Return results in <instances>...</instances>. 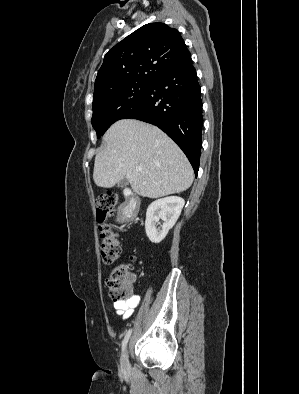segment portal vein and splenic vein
<instances>
[{"label": "portal vein and splenic vein", "mask_w": 299, "mask_h": 394, "mask_svg": "<svg viewBox=\"0 0 299 394\" xmlns=\"http://www.w3.org/2000/svg\"><path fill=\"white\" fill-rule=\"evenodd\" d=\"M136 170L137 171H141L142 169H141V167H137Z\"/></svg>", "instance_id": "18ae733b"}]
</instances>
